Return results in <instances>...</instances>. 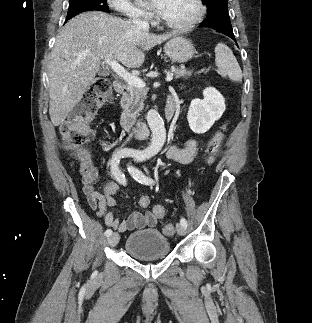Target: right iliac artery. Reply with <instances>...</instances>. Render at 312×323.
I'll return each instance as SVG.
<instances>
[{"mask_svg": "<svg viewBox=\"0 0 312 323\" xmlns=\"http://www.w3.org/2000/svg\"><path fill=\"white\" fill-rule=\"evenodd\" d=\"M129 156V154L126 151H119L113 154L112 159H111V172L114 178L123 185H126V178L125 174L122 173L119 168H118V163L121 158ZM112 234L111 229H107L105 231V236L109 237Z\"/></svg>", "mask_w": 312, "mask_h": 323, "instance_id": "1", "label": "right iliac artery"}]
</instances>
